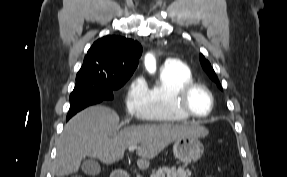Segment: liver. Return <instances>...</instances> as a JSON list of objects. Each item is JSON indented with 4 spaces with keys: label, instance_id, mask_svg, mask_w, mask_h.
Returning <instances> with one entry per match:
<instances>
[{
    "label": "liver",
    "instance_id": "1",
    "mask_svg": "<svg viewBox=\"0 0 287 177\" xmlns=\"http://www.w3.org/2000/svg\"><path fill=\"white\" fill-rule=\"evenodd\" d=\"M118 114L105 106L89 107L65 125L57 147V177L77 173L83 158L90 156L105 164L121 160L129 146H138L137 165L146 169L169 144L184 136L205 137L209 131L196 124H142L119 131Z\"/></svg>",
    "mask_w": 287,
    "mask_h": 177
}]
</instances>
